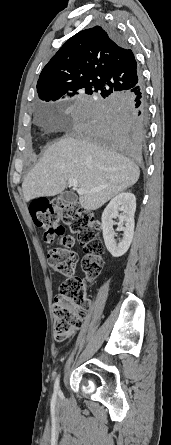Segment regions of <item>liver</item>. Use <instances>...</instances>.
<instances>
[{
    "label": "liver",
    "instance_id": "1",
    "mask_svg": "<svg viewBox=\"0 0 171 445\" xmlns=\"http://www.w3.org/2000/svg\"><path fill=\"white\" fill-rule=\"evenodd\" d=\"M138 166L127 157H116L96 140L84 137H63L51 145L40 161L25 177L22 190L26 202L55 196L74 178L79 188L97 192L80 195L86 210H96L112 197L134 185L139 178Z\"/></svg>",
    "mask_w": 171,
    "mask_h": 445
}]
</instances>
